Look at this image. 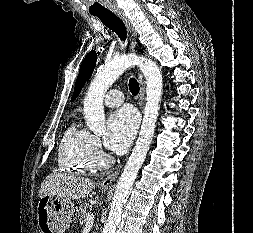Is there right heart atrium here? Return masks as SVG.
Returning <instances> with one entry per match:
<instances>
[{"instance_id": "obj_1", "label": "right heart atrium", "mask_w": 253, "mask_h": 233, "mask_svg": "<svg viewBox=\"0 0 253 233\" xmlns=\"http://www.w3.org/2000/svg\"><path fill=\"white\" fill-rule=\"evenodd\" d=\"M93 146H94V148H99L100 147V141L96 137H93Z\"/></svg>"}]
</instances>
